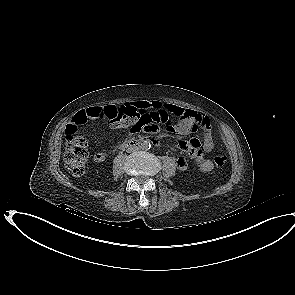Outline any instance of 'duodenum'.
<instances>
[{"instance_id": "410a0bca", "label": "duodenum", "mask_w": 295, "mask_h": 295, "mask_svg": "<svg viewBox=\"0 0 295 295\" xmlns=\"http://www.w3.org/2000/svg\"><path fill=\"white\" fill-rule=\"evenodd\" d=\"M149 141L146 138H133L121 144L120 148H137L143 143Z\"/></svg>"}]
</instances>
